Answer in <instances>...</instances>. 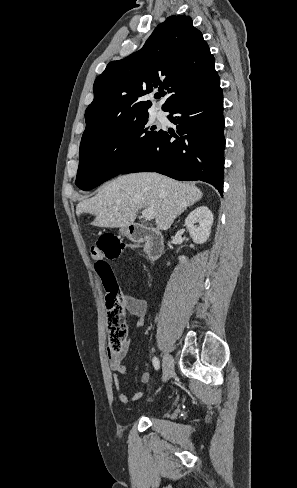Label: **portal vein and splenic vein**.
Instances as JSON below:
<instances>
[{
	"mask_svg": "<svg viewBox=\"0 0 297 488\" xmlns=\"http://www.w3.org/2000/svg\"><path fill=\"white\" fill-rule=\"evenodd\" d=\"M142 216L145 220H151L155 216V210L153 208H146L142 211Z\"/></svg>",
	"mask_w": 297,
	"mask_h": 488,
	"instance_id": "portal-vein-and-splenic-vein-1",
	"label": "portal vein and splenic vein"
}]
</instances>
